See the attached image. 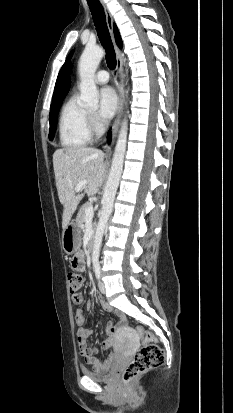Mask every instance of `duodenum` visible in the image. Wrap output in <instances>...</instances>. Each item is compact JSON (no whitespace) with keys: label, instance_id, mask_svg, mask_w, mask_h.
Listing matches in <instances>:
<instances>
[{"label":"duodenum","instance_id":"duodenum-1","mask_svg":"<svg viewBox=\"0 0 233 413\" xmlns=\"http://www.w3.org/2000/svg\"><path fill=\"white\" fill-rule=\"evenodd\" d=\"M94 236H91L88 240V244H87V248L89 251H91L93 249L94 246Z\"/></svg>","mask_w":233,"mask_h":413}]
</instances>
